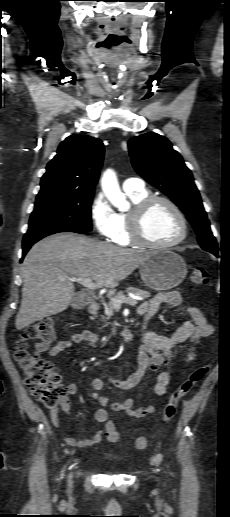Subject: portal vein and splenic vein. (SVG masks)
Returning <instances> with one entry per match:
<instances>
[{
  "instance_id": "18ae733b",
  "label": "portal vein and splenic vein",
  "mask_w": 230,
  "mask_h": 517,
  "mask_svg": "<svg viewBox=\"0 0 230 517\" xmlns=\"http://www.w3.org/2000/svg\"><path fill=\"white\" fill-rule=\"evenodd\" d=\"M71 281L77 282V283H79V284L83 285L84 287H86L88 289H91V290L98 289V285H96L91 280V278H88V277L87 278L72 277ZM112 302H113V305L115 307H120L122 305V303H126V304H129V305H136L137 304L136 298H128V297L113 299Z\"/></svg>"
}]
</instances>
